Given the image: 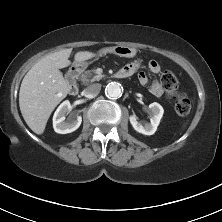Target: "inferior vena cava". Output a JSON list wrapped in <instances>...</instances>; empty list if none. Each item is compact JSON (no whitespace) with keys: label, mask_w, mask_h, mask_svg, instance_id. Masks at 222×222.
Listing matches in <instances>:
<instances>
[{"label":"inferior vena cava","mask_w":222,"mask_h":222,"mask_svg":"<svg viewBox=\"0 0 222 222\" xmlns=\"http://www.w3.org/2000/svg\"><path fill=\"white\" fill-rule=\"evenodd\" d=\"M100 90H101V84L95 83L85 88L83 90V94L85 97L93 98L99 94Z\"/></svg>","instance_id":"inferior-vena-cava-1"}]
</instances>
